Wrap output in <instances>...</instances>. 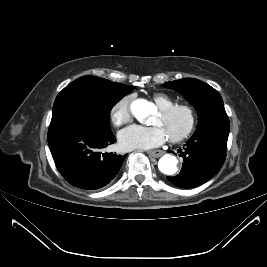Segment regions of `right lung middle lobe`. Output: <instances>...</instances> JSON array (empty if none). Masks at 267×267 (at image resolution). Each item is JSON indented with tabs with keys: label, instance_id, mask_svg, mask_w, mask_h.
Listing matches in <instances>:
<instances>
[{
	"label": "right lung middle lobe",
	"instance_id": "dd1d6c3e",
	"mask_svg": "<svg viewBox=\"0 0 267 267\" xmlns=\"http://www.w3.org/2000/svg\"><path fill=\"white\" fill-rule=\"evenodd\" d=\"M134 88L90 75L73 81L54 102L49 131L81 125L110 132V111Z\"/></svg>",
	"mask_w": 267,
	"mask_h": 267
}]
</instances>
